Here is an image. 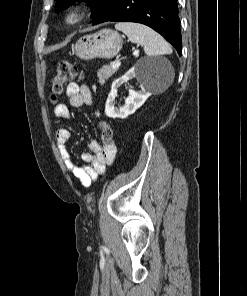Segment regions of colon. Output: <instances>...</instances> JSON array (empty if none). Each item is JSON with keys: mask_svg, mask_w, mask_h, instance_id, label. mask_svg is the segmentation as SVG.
Instances as JSON below:
<instances>
[{"mask_svg": "<svg viewBox=\"0 0 247 296\" xmlns=\"http://www.w3.org/2000/svg\"><path fill=\"white\" fill-rule=\"evenodd\" d=\"M79 74L76 65L69 61H62L58 65L57 72L52 80L51 92L54 98L63 94L65 85L75 79ZM101 141L104 145L110 146L113 141L114 131L112 126L107 122L100 124Z\"/></svg>", "mask_w": 247, "mask_h": 296, "instance_id": "1", "label": "colon"}]
</instances>
